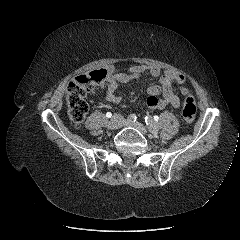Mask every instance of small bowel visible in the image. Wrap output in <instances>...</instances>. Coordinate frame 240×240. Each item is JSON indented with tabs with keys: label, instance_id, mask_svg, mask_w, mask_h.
<instances>
[{
	"label": "small bowel",
	"instance_id": "c3829d8e",
	"mask_svg": "<svg viewBox=\"0 0 240 240\" xmlns=\"http://www.w3.org/2000/svg\"><path fill=\"white\" fill-rule=\"evenodd\" d=\"M107 89L105 99L111 103H119L121 97L116 94L120 83H126L134 79H138L145 74L159 78V85H153L147 88L146 103L151 109H163L168 105L175 108L180 106V100L173 90V85H177L181 92L185 95L188 91L181 86L184 81L182 74L171 70L162 71L153 65H135L126 71H118L113 65H109L106 69ZM162 98H158V96Z\"/></svg>",
	"mask_w": 240,
	"mask_h": 240
}]
</instances>
